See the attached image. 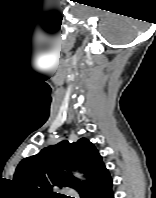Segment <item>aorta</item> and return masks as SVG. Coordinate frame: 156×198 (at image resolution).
<instances>
[{"instance_id": "obj_1", "label": "aorta", "mask_w": 156, "mask_h": 198, "mask_svg": "<svg viewBox=\"0 0 156 198\" xmlns=\"http://www.w3.org/2000/svg\"><path fill=\"white\" fill-rule=\"evenodd\" d=\"M74 176L77 177V178L80 179V180H84L83 175L80 174V173H78V172H75V173H74Z\"/></svg>"}]
</instances>
